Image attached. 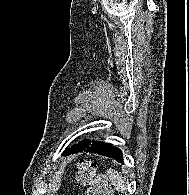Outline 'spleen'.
<instances>
[{"label":"spleen","instance_id":"1","mask_svg":"<svg viewBox=\"0 0 189 195\" xmlns=\"http://www.w3.org/2000/svg\"><path fill=\"white\" fill-rule=\"evenodd\" d=\"M106 176L118 192L123 193L125 191V181L119 172L109 168L106 171Z\"/></svg>","mask_w":189,"mask_h":195}]
</instances>
